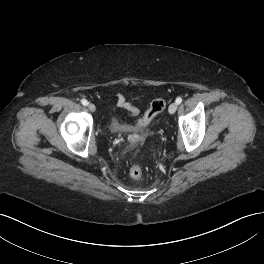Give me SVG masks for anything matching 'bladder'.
<instances>
[{"label":"bladder","mask_w":264,"mask_h":264,"mask_svg":"<svg viewBox=\"0 0 264 264\" xmlns=\"http://www.w3.org/2000/svg\"><path fill=\"white\" fill-rule=\"evenodd\" d=\"M110 129L113 132H122L127 130V126L117 120H112L110 123Z\"/></svg>","instance_id":"1"}]
</instances>
